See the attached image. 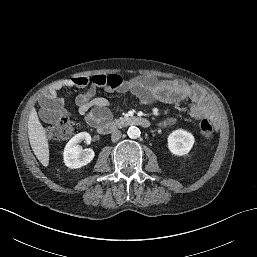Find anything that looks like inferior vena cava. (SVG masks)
Returning a JSON list of instances; mask_svg holds the SVG:
<instances>
[{
  "label": "inferior vena cava",
  "instance_id": "obj_1",
  "mask_svg": "<svg viewBox=\"0 0 257 257\" xmlns=\"http://www.w3.org/2000/svg\"><path fill=\"white\" fill-rule=\"evenodd\" d=\"M121 138V131L115 130L111 134V140L112 142H116Z\"/></svg>",
  "mask_w": 257,
  "mask_h": 257
}]
</instances>
